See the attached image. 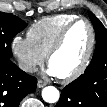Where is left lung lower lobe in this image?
Returning <instances> with one entry per match:
<instances>
[{"mask_svg":"<svg viewBox=\"0 0 107 107\" xmlns=\"http://www.w3.org/2000/svg\"><path fill=\"white\" fill-rule=\"evenodd\" d=\"M91 84L70 83L61 92L55 107H107V65L106 56L98 52Z\"/></svg>","mask_w":107,"mask_h":107,"instance_id":"left-lung-lower-lobe-1","label":"left lung lower lobe"}]
</instances>
